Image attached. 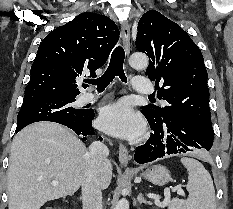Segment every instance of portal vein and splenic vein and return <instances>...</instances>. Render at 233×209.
<instances>
[{"mask_svg": "<svg viewBox=\"0 0 233 209\" xmlns=\"http://www.w3.org/2000/svg\"><path fill=\"white\" fill-rule=\"evenodd\" d=\"M51 185L52 186H57L58 185V181L57 180L52 181ZM177 194L181 195V196H184V191L182 190L181 187L177 188ZM148 197L154 199L158 203L159 207H165L170 202V192H169V190L165 191V199H164L163 202H159V196H157L155 194H148Z\"/></svg>", "mask_w": 233, "mask_h": 209, "instance_id": "obj_1", "label": "portal vein and splenic vein"}]
</instances>
